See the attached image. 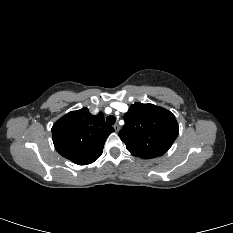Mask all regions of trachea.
Segmentation results:
<instances>
[{
  "mask_svg": "<svg viewBox=\"0 0 233 233\" xmlns=\"http://www.w3.org/2000/svg\"><path fill=\"white\" fill-rule=\"evenodd\" d=\"M115 121H116V118H115L113 115H110V116H108V117L106 118V122H107V124H109V125H113V124L115 123Z\"/></svg>",
  "mask_w": 233,
  "mask_h": 233,
  "instance_id": "obj_1",
  "label": "trachea"
}]
</instances>
